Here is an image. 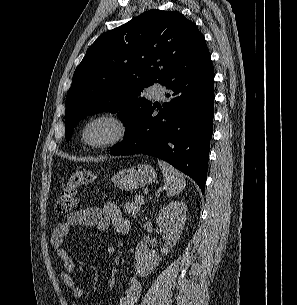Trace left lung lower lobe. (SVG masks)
<instances>
[{"label":"left lung lower lobe","mask_w":297,"mask_h":305,"mask_svg":"<svg viewBox=\"0 0 297 305\" xmlns=\"http://www.w3.org/2000/svg\"><path fill=\"white\" fill-rule=\"evenodd\" d=\"M163 86L170 99L150 102L111 155L147 154L163 159L195 180L204 193L214 115V69L175 74ZM158 109L159 113L152 116Z\"/></svg>","instance_id":"left-lung-lower-lobe-1"}]
</instances>
